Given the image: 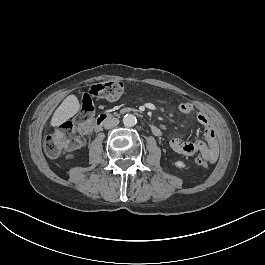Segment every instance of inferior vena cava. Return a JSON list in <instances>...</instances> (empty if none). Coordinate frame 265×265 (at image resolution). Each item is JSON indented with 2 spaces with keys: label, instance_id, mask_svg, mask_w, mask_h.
<instances>
[{
  "label": "inferior vena cava",
  "instance_id": "602c4592",
  "mask_svg": "<svg viewBox=\"0 0 265 265\" xmlns=\"http://www.w3.org/2000/svg\"><path fill=\"white\" fill-rule=\"evenodd\" d=\"M119 124V119L117 118H107L104 121V128L105 129H112L114 127H116Z\"/></svg>",
  "mask_w": 265,
  "mask_h": 265
}]
</instances>
